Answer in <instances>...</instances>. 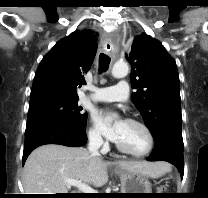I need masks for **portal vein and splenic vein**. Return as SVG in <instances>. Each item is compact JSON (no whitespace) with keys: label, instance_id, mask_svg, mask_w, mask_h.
Returning a JSON list of instances; mask_svg holds the SVG:
<instances>
[{"label":"portal vein and splenic vein","instance_id":"obj_1","mask_svg":"<svg viewBox=\"0 0 208 198\" xmlns=\"http://www.w3.org/2000/svg\"><path fill=\"white\" fill-rule=\"evenodd\" d=\"M66 185L69 186H75L77 187L80 191H82L83 193H97L96 190H94L93 188H91L90 186L82 183L81 181L78 180H74V179H66L65 180Z\"/></svg>","mask_w":208,"mask_h":198}]
</instances>
